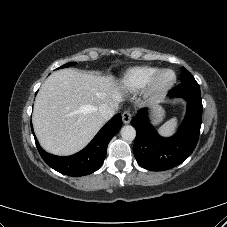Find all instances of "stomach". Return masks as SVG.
<instances>
[{
  "label": "stomach",
  "mask_w": 227,
  "mask_h": 227,
  "mask_svg": "<svg viewBox=\"0 0 227 227\" xmlns=\"http://www.w3.org/2000/svg\"><path fill=\"white\" fill-rule=\"evenodd\" d=\"M164 116V111L162 109H157L155 113V121L156 123L160 122Z\"/></svg>",
  "instance_id": "obj_1"
}]
</instances>
